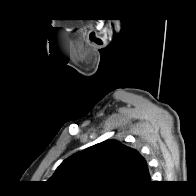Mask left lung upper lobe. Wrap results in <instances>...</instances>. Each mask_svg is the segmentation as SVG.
<instances>
[{
  "mask_svg": "<svg viewBox=\"0 0 196 196\" xmlns=\"http://www.w3.org/2000/svg\"><path fill=\"white\" fill-rule=\"evenodd\" d=\"M149 177L147 162L136 149L106 140L65 159L49 181L78 192L129 193Z\"/></svg>",
  "mask_w": 196,
  "mask_h": 196,
  "instance_id": "1",
  "label": "left lung upper lobe"
}]
</instances>
